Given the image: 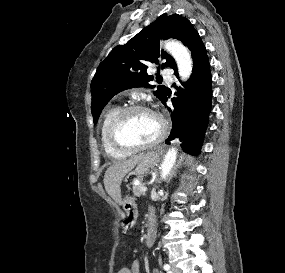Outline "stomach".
<instances>
[{
  "label": "stomach",
  "mask_w": 285,
  "mask_h": 273,
  "mask_svg": "<svg viewBox=\"0 0 285 273\" xmlns=\"http://www.w3.org/2000/svg\"><path fill=\"white\" fill-rule=\"evenodd\" d=\"M159 158V150H153L146 153L144 157L140 160V162L137 164L135 170L133 171V174L138 176L143 175L150 167H152L155 163L158 162ZM122 205L126 213L125 224H129L137 217L135 201L132 197L126 195L122 201Z\"/></svg>",
  "instance_id": "obj_1"
}]
</instances>
